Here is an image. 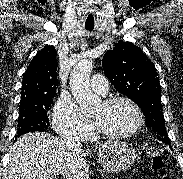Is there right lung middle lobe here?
I'll return each instance as SVG.
<instances>
[{"instance_id": "dd1d6c3e", "label": "right lung middle lobe", "mask_w": 183, "mask_h": 179, "mask_svg": "<svg viewBox=\"0 0 183 179\" xmlns=\"http://www.w3.org/2000/svg\"><path fill=\"white\" fill-rule=\"evenodd\" d=\"M54 96L20 102L18 128L15 139L33 131H44L49 126L48 109Z\"/></svg>"}]
</instances>
